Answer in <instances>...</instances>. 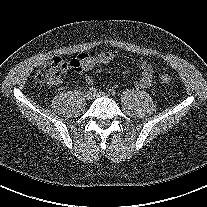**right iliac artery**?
Wrapping results in <instances>:
<instances>
[{
  "label": "right iliac artery",
  "instance_id": "1",
  "mask_svg": "<svg viewBox=\"0 0 207 207\" xmlns=\"http://www.w3.org/2000/svg\"><path fill=\"white\" fill-rule=\"evenodd\" d=\"M97 91H98V89H97L95 86H94V87L92 86V87L90 88V92H91V93H94V94H95Z\"/></svg>",
  "mask_w": 207,
  "mask_h": 207
}]
</instances>
